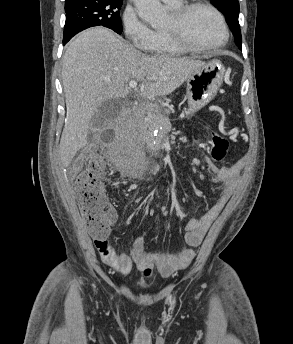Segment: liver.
I'll return each instance as SVG.
<instances>
[{"mask_svg":"<svg viewBox=\"0 0 293 344\" xmlns=\"http://www.w3.org/2000/svg\"><path fill=\"white\" fill-rule=\"evenodd\" d=\"M204 64L186 57L143 54L103 27L80 33L62 62L67 108L59 148L62 166H69L87 145L90 122L99 107L128 95L130 80L141 82L144 98L166 96Z\"/></svg>","mask_w":293,"mask_h":344,"instance_id":"6515ba94","label":"liver"}]
</instances>
